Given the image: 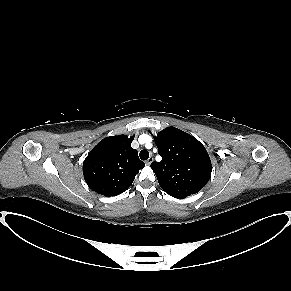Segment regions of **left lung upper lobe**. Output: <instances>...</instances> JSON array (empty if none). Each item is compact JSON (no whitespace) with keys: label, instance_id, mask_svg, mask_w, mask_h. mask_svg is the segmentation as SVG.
<instances>
[{"label":"left lung upper lobe","instance_id":"1","mask_svg":"<svg viewBox=\"0 0 291 291\" xmlns=\"http://www.w3.org/2000/svg\"><path fill=\"white\" fill-rule=\"evenodd\" d=\"M161 162H153L160 187L175 198H185L200 191L211 176V160L201 142L175 127H168L154 137Z\"/></svg>","mask_w":291,"mask_h":291}]
</instances>
